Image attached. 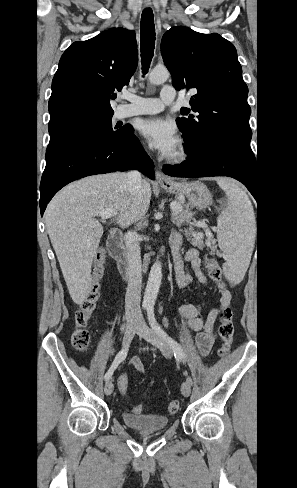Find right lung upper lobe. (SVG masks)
Instances as JSON below:
<instances>
[{"label":"right lung upper lobe","instance_id":"1","mask_svg":"<svg viewBox=\"0 0 297 488\" xmlns=\"http://www.w3.org/2000/svg\"><path fill=\"white\" fill-rule=\"evenodd\" d=\"M137 63L133 31L113 28L74 42L63 53L52 80L49 133L112 116L113 92L129 83Z\"/></svg>","mask_w":297,"mask_h":488}]
</instances>
